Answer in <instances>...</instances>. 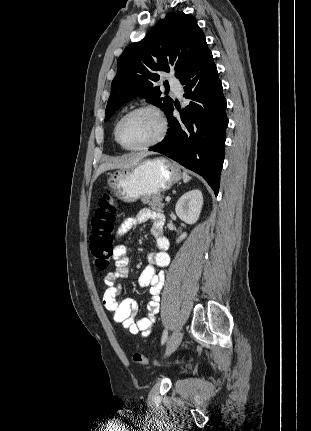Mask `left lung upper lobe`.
<instances>
[{
	"label": "left lung upper lobe",
	"instance_id": "5c2ea615",
	"mask_svg": "<svg viewBox=\"0 0 311 431\" xmlns=\"http://www.w3.org/2000/svg\"><path fill=\"white\" fill-rule=\"evenodd\" d=\"M206 50L204 33L192 15L168 13L145 38L129 45L119 57L105 121L135 96L146 98L167 115L173 100L160 97L158 72L175 70L180 80Z\"/></svg>",
	"mask_w": 311,
	"mask_h": 431
}]
</instances>
